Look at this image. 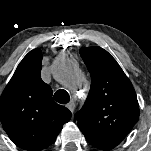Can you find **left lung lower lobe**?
Here are the masks:
<instances>
[{
	"label": "left lung lower lobe",
	"mask_w": 151,
	"mask_h": 151,
	"mask_svg": "<svg viewBox=\"0 0 151 151\" xmlns=\"http://www.w3.org/2000/svg\"><path fill=\"white\" fill-rule=\"evenodd\" d=\"M88 142L98 149L111 150L116 147L121 141L117 139L93 138L88 139Z\"/></svg>",
	"instance_id": "0a47b994"
}]
</instances>
